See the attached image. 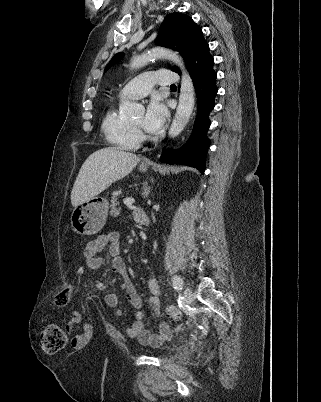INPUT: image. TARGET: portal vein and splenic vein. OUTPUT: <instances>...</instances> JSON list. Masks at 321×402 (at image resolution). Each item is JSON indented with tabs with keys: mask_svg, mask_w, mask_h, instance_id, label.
<instances>
[{
	"mask_svg": "<svg viewBox=\"0 0 321 402\" xmlns=\"http://www.w3.org/2000/svg\"><path fill=\"white\" fill-rule=\"evenodd\" d=\"M123 201L126 205H132L135 202L134 198H125Z\"/></svg>",
	"mask_w": 321,
	"mask_h": 402,
	"instance_id": "18ae733b",
	"label": "portal vein and splenic vein"
}]
</instances>
